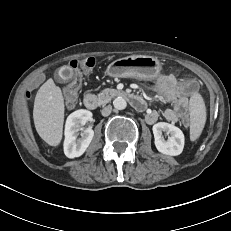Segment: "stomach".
Wrapping results in <instances>:
<instances>
[{
    "label": "stomach",
    "instance_id": "stomach-1",
    "mask_svg": "<svg viewBox=\"0 0 231 231\" xmlns=\"http://www.w3.org/2000/svg\"><path fill=\"white\" fill-rule=\"evenodd\" d=\"M161 71V63L157 58L145 55H133L113 61L106 73L115 78H135L151 81Z\"/></svg>",
    "mask_w": 231,
    "mask_h": 231
}]
</instances>
